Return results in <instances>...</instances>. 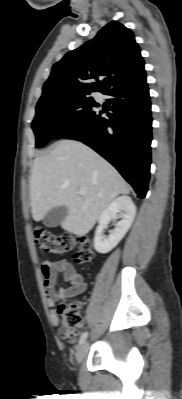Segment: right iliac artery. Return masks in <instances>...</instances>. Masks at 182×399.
I'll list each match as a JSON object with an SVG mask.
<instances>
[{
    "instance_id": "right-iliac-artery-1",
    "label": "right iliac artery",
    "mask_w": 182,
    "mask_h": 399,
    "mask_svg": "<svg viewBox=\"0 0 182 399\" xmlns=\"http://www.w3.org/2000/svg\"><path fill=\"white\" fill-rule=\"evenodd\" d=\"M87 336H88V332H84V333L81 335V337H80V339H79V345H81V344H83V343L85 342V340L87 339Z\"/></svg>"
}]
</instances>
